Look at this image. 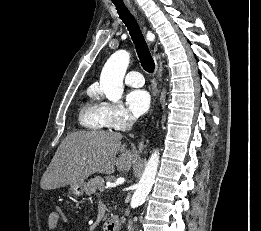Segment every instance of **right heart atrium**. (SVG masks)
Segmentation results:
<instances>
[{"label":"right heart atrium","instance_id":"obj_1","mask_svg":"<svg viewBox=\"0 0 261 231\" xmlns=\"http://www.w3.org/2000/svg\"><path fill=\"white\" fill-rule=\"evenodd\" d=\"M101 108L105 126L109 129L124 130L134 119L132 114L120 103L102 102Z\"/></svg>","mask_w":261,"mask_h":231}]
</instances>
